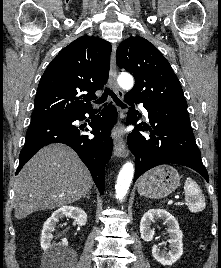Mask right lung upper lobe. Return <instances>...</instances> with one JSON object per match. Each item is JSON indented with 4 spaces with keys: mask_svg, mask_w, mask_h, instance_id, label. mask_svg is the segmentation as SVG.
Instances as JSON below:
<instances>
[{
    "mask_svg": "<svg viewBox=\"0 0 221 268\" xmlns=\"http://www.w3.org/2000/svg\"><path fill=\"white\" fill-rule=\"evenodd\" d=\"M110 54L109 42L88 36L61 50L39 82L31 120L68 117L91 109L95 92L108 79Z\"/></svg>",
    "mask_w": 221,
    "mask_h": 268,
    "instance_id": "obj_1",
    "label": "right lung upper lobe"
}]
</instances>
